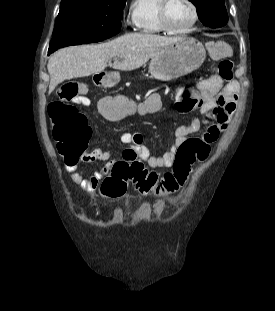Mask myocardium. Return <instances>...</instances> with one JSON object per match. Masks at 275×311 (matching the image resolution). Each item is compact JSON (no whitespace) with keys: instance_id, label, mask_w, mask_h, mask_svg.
<instances>
[{"instance_id":"obj_1","label":"myocardium","mask_w":275,"mask_h":311,"mask_svg":"<svg viewBox=\"0 0 275 311\" xmlns=\"http://www.w3.org/2000/svg\"><path fill=\"white\" fill-rule=\"evenodd\" d=\"M172 0H160L159 8H158V18L159 23L164 31L171 34H183L191 30L198 21V9L193 0H186V2L190 5L192 9V20L190 23L184 28L175 29L171 26L168 20V7Z\"/></svg>"}]
</instances>
